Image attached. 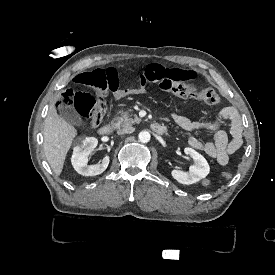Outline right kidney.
<instances>
[{"mask_svg":"<svg viewBox=\"0 0 275 275\" xmlns=\"http://www.w3.org/2000/svg\"><path fill=\"white\" fill-rule=\"evenodd\" d=\"M97 144L98 140L95 137L80 136L75 140L71 163L79 174L95 176L103 173L108 167L109 156H105L101 164L87 165L88 156Z\"/></svg>","mask_w":275,"mask_h":275,"instance_id":"ca27d5eb","label":"right kidney"}]
</instances>
